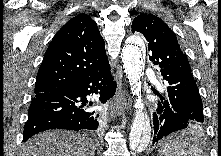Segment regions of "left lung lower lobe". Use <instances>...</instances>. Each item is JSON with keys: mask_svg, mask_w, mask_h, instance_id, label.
<instances>
[{"mask_svg": "<svg viewBox=\"0 0 221 156\" xmlns=\"http://www.w3.org/2000/svg\"><path fill=\"white\" fill-rule=\"evenodd\" d=\"M160 98L157 109L153 113V144L175 131L199 125L195 121L176 112L166 98L161 96Z\"/></svg>", "mask_w": 221, "mask_h": 156, "instance_id": "1", "label": "left lung lower lobe"}]
</instances>
